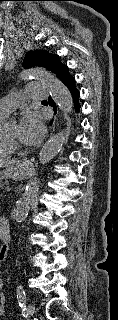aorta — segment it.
Returning <instances> with one entry per match:
<instances>
[{
	"mask_svg": "<svg viewBox=\"0 0 118 320\" xmlns=\"http://www.w3.org/2000/svg\"><path fill=\"white\" fill-rule=\"evenodd\" d=\"M21 77L26 80H38L43 83L55 103L65 113H70L73 108V99L68 88L44 68L34 67L24 70ZM67 140V134L61 131L53 135L42 147L39 153V161L42 165L49 163L62 149ZM37 180L31 181L15 208V219L22 222L26 219L30 206L36 195Z\"/></svg>",
	"mask_w": 118,
	"mask_h": 320,
	"instance_id": "1",
	"label": "aorta"
}]
</instances>
